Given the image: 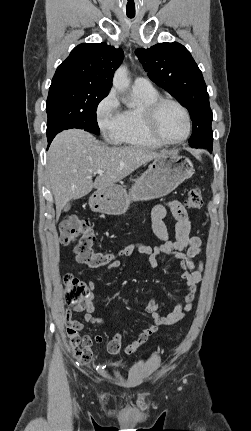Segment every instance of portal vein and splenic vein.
<instances>
[{
	"label": "portal vein and splenic vein",
	"mask_w": 251,
	"mask_h": 431,
	"mask_svg": "<svg viewBox=\"0 0 251 431\" xmlns=\"http://www.w3.org/2000/svg\"><path fill=\"white\" fill-rule=\"evenodd\" d=\"M104 172V170L102 169H98L94 172V174H102Z\"/></svg>",
	"instance_id": "obj_1"
}]
</instances>
